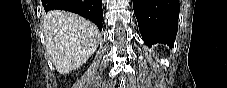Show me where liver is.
I'll return each mask as SVG.
<instances>
[{
	"mask_svg": "<svg viewBox=\"0 0 227 88\" xmlns=\"http://www.w3.org/2000/svg\"><path fill=\"white\" fill-rule=\"evenodd\" d=\"M43 26L46 52L60 74L86 63L100 41L98 28L73 13L49 11L44 16Z\"/></svg>",
	"mask_w": 227,
	"mask_h": 88,
	"instance_id": "liver-1",
	"label": "liver"
}]
</instances>
